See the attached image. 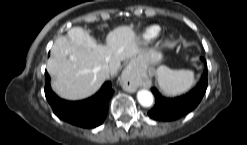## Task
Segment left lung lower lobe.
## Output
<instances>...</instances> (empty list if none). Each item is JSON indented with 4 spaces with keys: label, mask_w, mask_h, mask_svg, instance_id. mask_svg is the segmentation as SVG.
I'll return each mask as SVG.
<instances>
[{
    "label": "left lung lower lobe",
    "mask_w": 247,
    "mask_h": 145,
    "mask_svg": "<svg viewBox=\"0 0 247 145\" xmlns=\"http://www.w3.org/2000/svg\"><path fill=\"white\" fill-rule=\"evenodd\" d=\"M205 62V59H202ZM207 77L204 73L198 85L186 95L168 99L162 97L155 88L152 92L155 95V105L148 112V115L155 120L171 121L176 120L192 111L201 101L207 89Z\"/></svg>",
    "instance_id": "0a47b994"
}]
</instances>
